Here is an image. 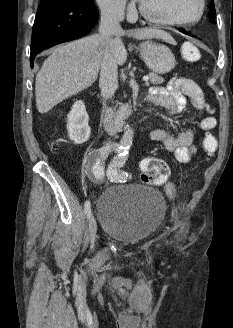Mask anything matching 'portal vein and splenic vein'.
I'll use <instances>...</instances> for the list:
<instances>
[{
  "mask_svg": "<svg viewBox=\"0 0 233 328\" xmlns=\"http://www.w3.org/2000/svg\"><path fill=\"white\" fill-rule=\"evenodd\" d=\"M148 80H149V78H148L147 76H144V77H143V81H144L145 83H147Z\"/></svg>",
  "mask_w": 233,
  "mask_h": 328,
  "instance_id": "portal-vein-and-splenic-vein-1",
  "label": "portal vein and splenic vein"
}]
</instances>
